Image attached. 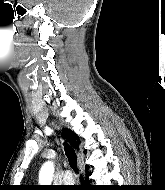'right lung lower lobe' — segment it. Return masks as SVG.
<instances>
[{"label":"right lung lower lobe","mask_w":165,"mask_h":190,"mask_svg":"<svg viewBox=\"0 0 165 190\" xmlns=\"http://www.w3.org/2000/svg\"><path fill=\"white\" fill-rule=\"evenodd\" d=\"M86 176H89V172H86ZM80 190H105L99 186L89 185L87 183L79 186Z\"/></svg>","instance_id":"right-lung-lower-lobe-1"}]
</instances>
